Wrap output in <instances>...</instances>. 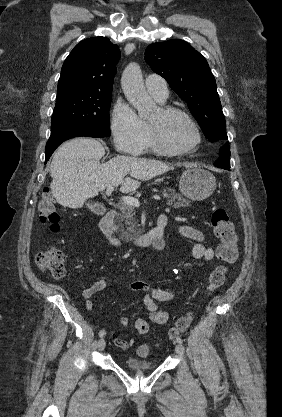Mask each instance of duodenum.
Here are the masks:
<instances>
[{
  "instance_id": "duodenum-1",
  "label": "duodenum",
  "mask_w": 282,
  "mask_h": 417,
  "mask_svg": "<svg viewBox=\"0 0 282 417\" xmlns=\"http://www.w3.org/2000/svg\"><path fill=\"white\" fill-rule=\"evenodd\" d=\"M115 217L116 212L114 210L105 213L100 220L99 227L103 235L110 241V243L117 246L120 239L113 228V221ZM162 239L163 230L161 227L157 226L147 233L134 236L130 241L136 247L146 248L154 246L156 249H162L164 247V242H161Z\"/></svg>"
}]
</instances>
